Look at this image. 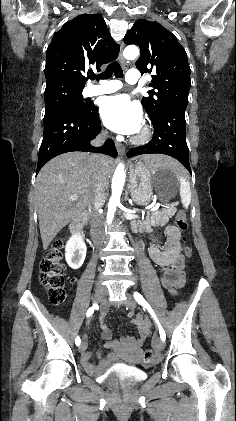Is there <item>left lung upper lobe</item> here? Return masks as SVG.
<instances>
[{"instance_id":"obj_1","label":"left lung upper lobe","mask_w":236,"mask_h":421,"mask_svg":"<svg viewBox=\"0 0 236 421\" xmlns=\"http://www.w3.org/2000/svg\"><path fill=\"white\" fill-rule=\"evenodd\" d=\"M124 42L136 44L141 49L136 67L141 73H153L156 91L143 97L142 105L151 120L157 118L168 106H187L190 89V67L187 54L176 37L157 22L141 19L127 32Z\"/></svg>"}]
</instances>
